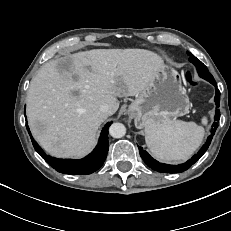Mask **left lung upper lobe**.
<instances>
[{"label":"left lung upper lobe","instance_id":"left-lung-upper-lobe-1","mask_svg":"<svg viewBox=\"0 0 231 231\" xmlns=\"http://www.w3.org/2000/svg\"><path fill=\"white\" fill-rule=\"evenodd\" d=\"M188 54L190 55L189 61L196 66L199 76L207 81L214 80L207 67L191 53L188 52Z\"/></svg>","mask_w":231,"mask_h":231}]
</instances>
